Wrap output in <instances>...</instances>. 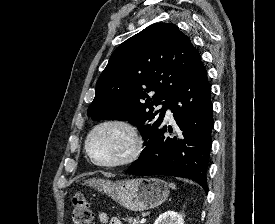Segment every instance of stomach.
Instances as JSON below:
<instances>
[{
    "instance_id": "stomach-1",
    "label": "stomach",
    "mask_w": 275,
    "mask_h": 224,
    "mask_svg": "<svg viewBox=\"0 0 275 224\" xmlns=\"http://www.w3.org/2000/svg\"><path fill=\"white\" fill-rule=\"evenodd\" d=\"M86 184L105 193L128 210L141 212L160 206L169 195L166 182L158 178H138L122 181L90 179Z\"/></svg>"
}]
</instances>
